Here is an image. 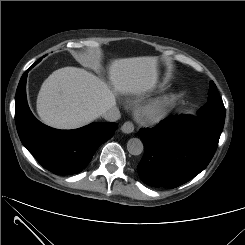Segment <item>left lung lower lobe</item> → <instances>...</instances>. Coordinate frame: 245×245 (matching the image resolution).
<instances>
[{"label":"left lung lower lobe","mask_w":245,"mask_h":245,"mask_svg":"<svg viewBox=\"0 0 245 245\" xmlns=\"http://www.w3.org/2000/svg\"><path fill=\"white\" fill-rule=\"evenodd\" d=\"M224 121L208 115L169 116L152 129H140L145 153L137 171L153 187H178L203 171L219 142Z\"/></svg>","instance_id":"1"}]
</instances>
